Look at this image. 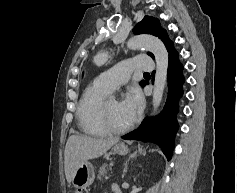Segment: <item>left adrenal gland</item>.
<instances>
[{
  "label": "left adrenal gland",
  "instance_id": "obj_1",
  "mask_svg": "<svg viewBox=\"0 0 237 193\" xmlns=\"http://www.w3.org/2000/svg\"><path fill=\"white\" fill-rule=\"evenodd\" d=\"M135 156H136V153H134L133 155H131L130 158H134ZM130 158H129V159H130ZM129 159L127 160V162L129 161ZM127 162L125 163L124 174L127 172V169H128V167H127Z\"/></svg>",
  "mask_w": 237,
  "mask_h": 193
}]
</instances>
